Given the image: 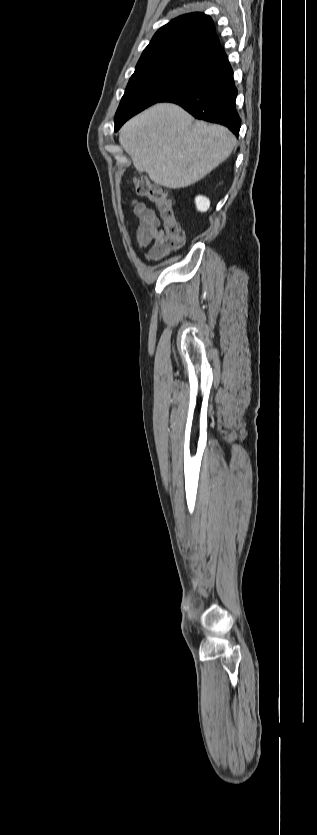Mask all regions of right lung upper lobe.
<instances>
[{
    "instance_id": "1",
    "label": "right lung upper lobe",
    "mask_w": 317,
    "mask_h": 835,
    "mask_svg": "<svg viewBox=\"0 0 317 835\" xmlns=\"http://www.w3.org/2000/svg\"><path fill=\"white\" fill-rule=\"evenodd\" d=\"M220 48L212 19L202 13L182 15L161 27L143 51L135 71L191 58Z\"/></svg>"
}]
</instances>
